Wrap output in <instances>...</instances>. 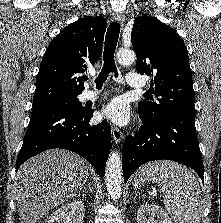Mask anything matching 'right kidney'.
<instances>
[{
    "instance_id": "1",
    "label": "right kidney",
    "mask_w": 221,
    "mask_h": 223,
    "mask_svg": "<svg viewBox=\"0 0 221 223\" xmlns=\"http://www.w3.org/2000/svg\"><path fill=\"white\" fill-rule=\"evenodd\" d=\"M85 210L81 200L67 203L55 210L46 223H82Z\"/></svg>"
}]
</instances>
